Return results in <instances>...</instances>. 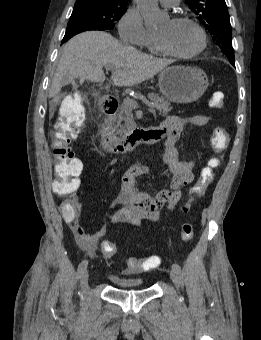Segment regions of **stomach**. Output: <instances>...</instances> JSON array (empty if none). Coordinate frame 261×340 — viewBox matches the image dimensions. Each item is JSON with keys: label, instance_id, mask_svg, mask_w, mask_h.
<instances>
[{"label": "stomach", "instance_id": "obj_1", "mask_svg": "<svg viewBox=\"0 0 261 340\" xmlns=\"http://www.w3.org/2000/svg\"><path fill=\"white\" fill-rule=\"evenodd\" d=\"M206 73L196 67L171 66L159 74V89L170 101L188 104L197 101L207 90Z\"/></svg>", "mask_w": 261, "mask_h": 340}]
</instances>
